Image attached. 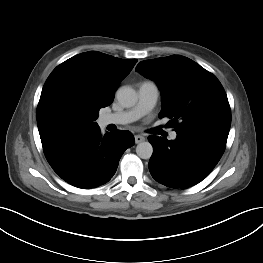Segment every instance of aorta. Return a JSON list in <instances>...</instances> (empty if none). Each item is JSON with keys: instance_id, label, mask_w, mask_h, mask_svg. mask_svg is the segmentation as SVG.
Listing matches in <instances>:
<instances>
[{"instance_id": "762f6f07", "label": "aorta", "mask_w": 263, "mask_h": 263, "mask_svg": "<svg viewBox=\"0 0 263 263\" xmlns=\"http://www.w3.org/2000/svg\"><path fill=\"white\" fill-rule=\"evenodd\" d=\"M118 102L126 108L133 107L137 100V93L134 89L124 86L117 90ZM137 155L142 159H149L153 154V147L149 142H141L136 147Z\"/></svg>"}]
</instances>
